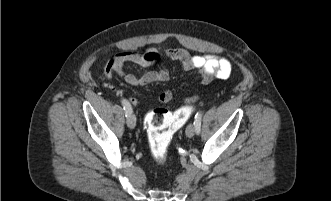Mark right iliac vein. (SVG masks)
I'll use <instances>...</instances> for the list:
<instances>
[{
	"label": "right iliac vein",
	"instance_id": "63e3f726",
	"mask_svg": "<svg viewBox=\"0 0 331 201\" xmlns=\"http://www.w3.org/2000/svg\"><path fill=\"white\" fill-rule=\"evenodd\" d=\"M126 122H127V125H128L129 128H131V129L135 128V126H136V117H135V115L130 114L129 116H127Z\"/></svg>",
	"mask_w": 331,
	"mask_h": 201
}]
</instances>
